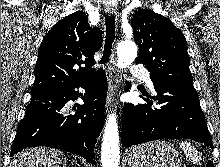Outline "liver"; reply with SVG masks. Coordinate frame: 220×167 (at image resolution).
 Returning a JSON list of instances; mask_svg holds the SVG:
<instances>
[{"mask_svg": "<svg viewBox=\"0 0 220 167\" xmlns=\"http://www.w3.org/2000/svg\"><path fill=\"white\" fill-rule=\"evenodd\" d=\"M61 152L44 147L29 148L13 156L10 167H60Z\"/></svg>", "mask_w": 220, "mask_h": 167, "instance_id": "obj_1", "label": "liver"}]
</instances>
